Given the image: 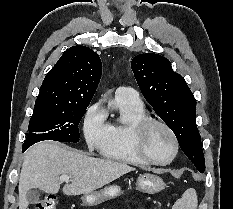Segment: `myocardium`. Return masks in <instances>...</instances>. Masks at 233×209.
<instances>
[{
  "label": "myocardium",
  "mask_w": 233,
  "mask_h": 209,
  "mask_svg": "<svg viewBox=\"0 0 233 209\" xmlns=\"http://www.w3.org/2000/svg\"><path fill=\"white\" fill-rule=\"evenodd\" d=\"M153 125H158L162 127L164 130H166L173 141V146H174L173 154L168 160L163 161V162L157 161L151 158L145 148V141H146L148 130ZM133 144H134V149L136 153L139 155V157L143 161L151 165H157V166L169 165L175 160L179 152V141H178L177 135L174 132V130L166 122L160 119H157V118L149 117V116H146L140 119L134 125Z\"/></svg>",
  "instance_id": "obj_1"
}]
</instances>
